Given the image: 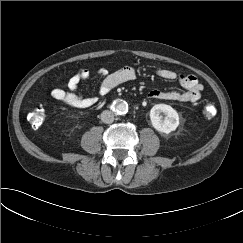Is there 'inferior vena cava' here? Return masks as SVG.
<instances>
[{
  "label": "inferior vena cava",
  "instance_id": "602c4592",
  "mask_svg": "<svg viewBox=\"0 0 243 243\" xmlns=\"http://www.w3.org/2000/svg\"><path fill=\"white\" fill-rule=\"evenodd\" d=\"M101 120L104 123L110 124L114 121V114L111 111L105 110L101 113Z\"/></svg>",
  "mask_w": 243,
  "mask_h": 243
}]
</instances>
